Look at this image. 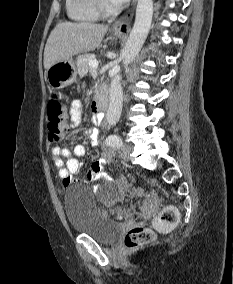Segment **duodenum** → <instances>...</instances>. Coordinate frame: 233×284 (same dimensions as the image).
<instances>
[{
  "label": "duodenum",
  "mask_w": 233,
  "mask_h": 284,
  "mask_svg": "<svg viewBox=\"0 0 233 284\" xmlns=\"http://www.w3.org/2000/svg\"><path fill=\"white\" fill-rule=\"evenodd\" d=\"M96 105L100 111H104L108 105V96L105 93H99L96 98Z\"/></svg>",
  "instance_id": "obj_1"
}]
</instances>
